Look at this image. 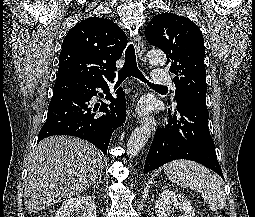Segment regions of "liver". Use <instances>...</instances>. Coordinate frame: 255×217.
I'll return each instance as SVG.
<instances>
[{
	"label": "liver",
	"mask_w": 255,
	"mask_h": 217,
	"mask_svg": "<svg viewBox=\"0 0 255 217\" xmlns=\"http://www.w3.org/2000/svg\"><path fill=\"white\" fill-rule=\"evenodd\" d=\"M103 170L100 150L71 136L42 140L30 158L24 191L25 207L36 213L90 187Z\"/></svg>",
	"instance_id": "liver-1"
}]
</instances>
